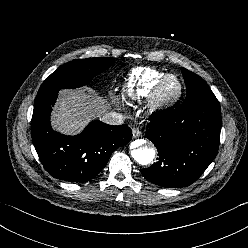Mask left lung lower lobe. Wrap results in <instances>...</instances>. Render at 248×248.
Masks as SVG:
<instances>
[{
  "label": "left lung lower lobe",
  "mask_w": 248,
  "mask_h": 248,
  "mask_svg": "<svg viewBox=\"0 0 248 248\" xmlns=\"http://www.w3.org/2000/svg\"><path fill=\"white\" fill-rule=\"evenodd\" d=\"M145 132L157 147V162L140 169L150 182L171 188L195 182L216 157L221 109L216 97L154 113Z\"/></svg>",
  "instance_id": "obj_1"
}]
</instances>
